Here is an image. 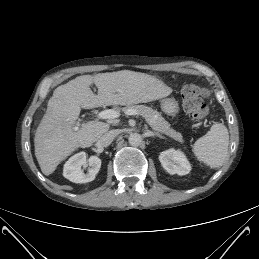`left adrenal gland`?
Masks as SVG:
<instances>
[{"mask_svg":"<svg viewBox=\"0 0 259 259\" xmlns=\"http://www.w3.org/2000/svg\"><path fill=\"white\" fill-rule=\"evenodd\" d=\"M155 136H156V137H158V138H160V139H164V137H163V136H161V135H160V134H158V133H156V134H155Z\"/></svg>","mask_w":259,"mask_h":259,"instance_id":"obj_1","label":"left adrenal gland"}]
</instances>
